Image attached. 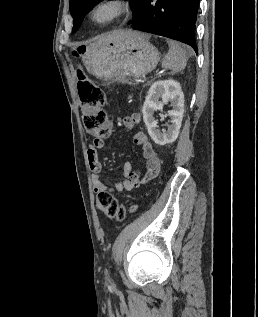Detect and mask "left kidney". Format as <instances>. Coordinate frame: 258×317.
Here are the masks:
<instances>
[{"label":"left kidney","mask_w":258,"mask_h":317,"mask_svg":"<svg viewBox=\"0 0 258 317\" xmlns=\"http://www.w3.org/2000/svg\"><path fill=\"white\" fill-rule=\"evenodd\" d=\"M162 98L160 102L159 98ZM171 102L173 110H168L167 116H171V124L166 132L158 128L157 120L154 118L155 110H162L163 104ZM143 120L147 130L156 144H170L176 140L184 112V92L180 82L176 80H156L151 84L142 108Z\"/></svg>","instance_id":"left-kidney-1"}]
</instances>
